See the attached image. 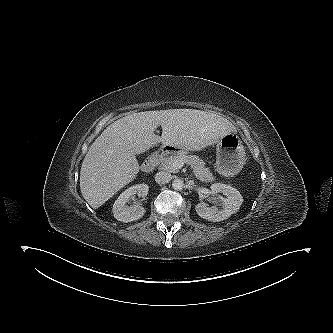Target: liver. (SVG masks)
<instances>
[{
	"label": "liver",
	"mask_w": 333,
	"mask_h": 333,
	"mask_svg": "<svg viewBox=\"0 0 333 333\" xmlns=\"http://www.w3.org/2000/svg\"><path fill=\"white\" fill-rule=\"evenodd\" d=\"M161 126L162 135L154 133ZM235 131L226 119L195 109L146 111L109 125L93 142L80 171L83 198L98 209L140 170L136 154L158 143L182 151H200Z\"/></svg>",
	"instance_id": "1"
}]
</instances>
